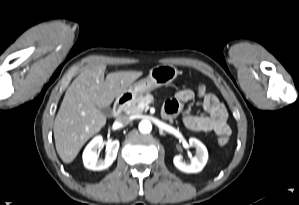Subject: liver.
<instances>
[{"instance_id": "1", "label": "liver", "mask_w": 299, "mask_h": 205, "mask_svg": "<svg viewBox=\"0 0 299 205\" xmlns=\"http://www.w3.org/2000/svg\"><path fill=\"white\" fill-rule=\"evenodd\" d=\"M106 65L82 71L68 87L54 121L56 150L64 163H71L82 146L106 124L100 108L108 107L142 75V71L107 74Z\"/></svg>"}]
</instances>
